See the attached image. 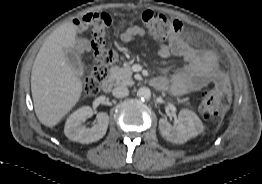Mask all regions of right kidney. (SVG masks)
<instances>
[{"label": "right kidney", "mask_w": 262, "mask_h": 184, "mask_svg": "<svg viewBox=\"0 0 262 184\" xmlns=\"http://www.w3.org/2000/svg\"><path fill=\"white\" fill-rule=\"evenodd\" d=\"M93 115L91 107L84 106L72 113L66 121L64 133L72 141L88 144L101 139L107 131L109 116L107 113L97 114V123L87 128L82 123Z\"/></svg>", "instance_id": "1"}]
</instances>
